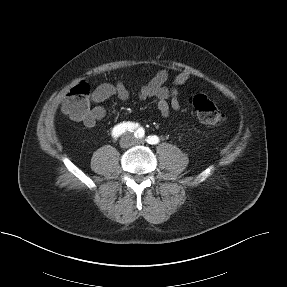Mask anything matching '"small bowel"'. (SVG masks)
I'll use <instances>...</instances> for the list:
<instances>
[{
    "label": "small bowel",
    "instance_id": "1",
    "mask_svg": "<svg viewBox=\"0 0 287 287\" xmlns=\"http://www.w3.org/2000/svg\"><path fill=\"white\" fill-rule=\"evenodd\" d=\"M190 73L186 70L178 73L170 87L165 86L169 79V72L161 69L157 74L138 91V99H151L155 103L162 116H168L171 110H179L181 107L178 98V88L184 85L190 79ZM117 96L126 101L130 98V93L123 82L118 81L115 84L103 83L96 87L91 95L93 106L88 115L82 120L87 128H94L98 121L106 115V110L102 105L109 98Z\"/></svg>",
    "mask_w": 287,
    "mask_h": 287
}]
</instances>
